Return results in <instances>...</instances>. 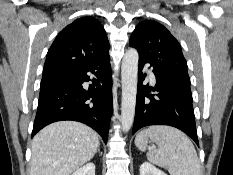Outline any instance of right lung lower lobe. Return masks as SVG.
Segmentation results:
<instances>
[{
	"label": "right lung lower lobe",
	"mask_w": 233,
	"mask_h": 175,
	"mask_svg": "<svg viewBox=\"0 0 233 175\" xmlns=\"http://www.w3.org/2000/svg\"><path fill=\"white\" fill-rule=\"evenodd\" d=\"M90 80L92 84L89 88L82 86ZM112 111V78L108 54L68 72L41 80L32 137L50 123L73 120L92 127L106 144Z\"/></svg>",
	"instance_id": "98d812e1"
}]
</instances>
